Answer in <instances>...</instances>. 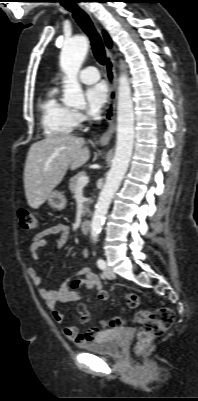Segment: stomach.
Listing matches in <instances>:
<instances>
[{"label": "stomach", "instance_id": "stomach-1", "mask_svg": "<svg viewBox=\"0 0 198 401\" xmlns=\"http://www.w3.org/2000/svg\"><path fill=\"white\" fill-rule=\"evenodd\" d=\"M48 205L55 210H63L66 206V198L61 191H52L47 198Z\"/></svg>", "mask_w": 198, "mask_h": 401}]
</instances>
